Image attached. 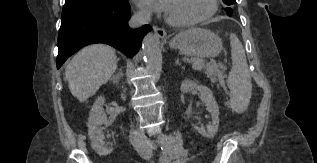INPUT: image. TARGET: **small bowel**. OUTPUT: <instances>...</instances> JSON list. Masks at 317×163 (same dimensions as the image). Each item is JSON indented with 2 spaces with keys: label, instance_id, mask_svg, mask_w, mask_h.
<instances>
[{
  "label": "small bowel",
  "instance_id": "1",
  "mask_svg": "<svg viewBox=\"0 0 317 163\" xmlns=\"http://www.w3.org/2000/svg\"><path fill=\"white\" fill-rule=\"evenodd\" d=\"M180 150L177 149V151L174 154H178ZM173 155V154H172ZM171 154L167 155L165 154L164 156L161 157L159 163H171ZM189 160V155L187 154L186 151H182V155L179 158V160H176L174 163H186Z\"/></svg>",
  "mask_w": 317,
  "mask_h": 163
}]
</instances>
